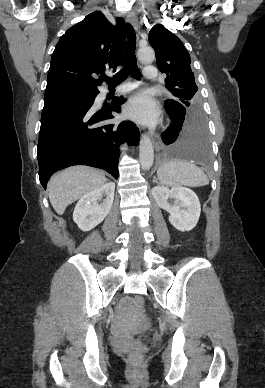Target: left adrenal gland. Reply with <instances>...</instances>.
Returning <instances> with one entry per match:
<instances>
[{"label": "left adrenal gland", "instance_id": "a2214340", "mask_svg": "<svg viewBox=\"0 0 265 388\" xmlns=\"http://www.w3.org/2000/svg\"><path fill=\"white\" fill-rule=\"evenodd\" d=\"M153 182H156V184H159L158 180H156L155 176H153Z\"/></svg>", "mask_w": 265, "mask_h": 388}]
</instances>
